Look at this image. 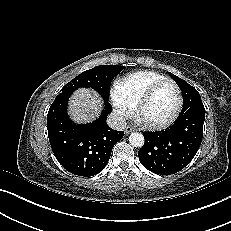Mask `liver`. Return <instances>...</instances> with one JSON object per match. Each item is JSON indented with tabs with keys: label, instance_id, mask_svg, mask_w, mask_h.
Here are the masks:
<instances>
[{
	"label": "liver",
	"instance_id": "obj_1",
	"mask_svg": "<svg viewBox=\"0 0 231 231\" xmlns=\"http://www.w3.org/2000/svg\"><path fill=\"white\" fill-rule=\"evenodd\" d=\"M103 100L97 92L79 88L72 93L68 102L70 118L80 124L93 122L101 114Z\"/></svg>",
	"mask_w": 231,
	"mask_h": 231
}]
</instances>
